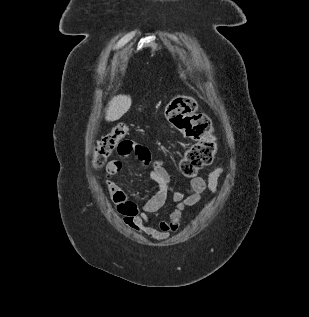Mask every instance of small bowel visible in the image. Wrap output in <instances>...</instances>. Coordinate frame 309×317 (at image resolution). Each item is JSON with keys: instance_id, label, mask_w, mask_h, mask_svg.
Instances as JSON below:
<instances>
[{"instance_id": "c3829d8e", "label": "small bowel", "mask_w": 309, "mask_h": 317, "mask_svg": "<svg viewBox=\"0 0 309 317\" xmlns=\"http://www.w3.org/2000/svg\"><path fill=\"white\" fill-rule=\"evenodd\" d=\"M132 143V141L126 142L127 151H120L121 157L125 158L134 153ZM134 154L141 167H149V176L158 185V190L151 198L139 208L128 199L123 188L114 182V178L123 168V162L120 159L111 160L107 164L105 187L117 212L122 216L123 222L133 231L149 236L156 241L166 240L171 233L178 230L185 208L198 204L202 195L207 191L212 194L216 193L219 179L225 170V167L220 165L211 171L207 178L203 176L194 177L188 190L176 191L171 187L169 174L164 167L165 163L174 161L173 158H152L150 151L142 146L141 151ZM168 199L176 204V209L167 220L154 226L149 214L161 209Z\"/></svg>"}]
</instances>
